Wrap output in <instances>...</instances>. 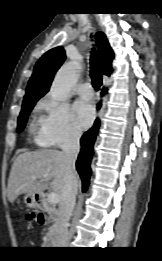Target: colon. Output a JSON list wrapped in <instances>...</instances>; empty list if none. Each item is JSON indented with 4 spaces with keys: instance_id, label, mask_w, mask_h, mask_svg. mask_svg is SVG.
<instances>
[{
    "instance_id": "obj_1",
    "label": "colon",
    "mask_w": 162,
    "mask_h": 261,
    "mask_svg": "<svg viewBox=\"0 0 162 261\" xmlns=\"http://www.w3.org/2000/svg\"><path fill=\"white\" fill-rule=\"evenodd\" d=\"M27 219L29 220V221H37V222H39L40 224L42 223V221H43V217H42V214H36V213H29L28 215H27Z\"/></svg>"
}]
</instances>
